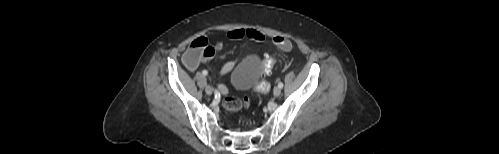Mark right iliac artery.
Listing matches in <instances>:
<instances>
[{"label":"right iliac artery","instance_id":"1","mask_svg":"<svg viewBox=\"0 0 499 154\" xmlns=\"http://www.w3.org/2000/svg\"><path fill=\"white\" fill-rule=\"evenodd\" d=\"M202 74H203L204 76H206V75L208 74V72H207L206 70H204V71L202 72Z\"/></svg>","mask_w":499,"mask_h":154}]
</instances>
